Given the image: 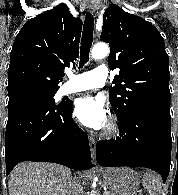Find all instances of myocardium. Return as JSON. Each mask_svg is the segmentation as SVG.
Returning <instances> with one entry per match:
<instances>
[{
    "label": "myocardium",
    "instance_id": "myocardium-1",
    "mask_svg": "<svg viewBox=\"0 0 178 195\" xmlns=\"http://www.w3.org/2000/svg\"><path fill=\"white\" fill-rule=\"evenodd\" d=\"M118 134L119 126L117 124V121L114 118H112L104 129L103 137L105 139H114L118 136Z\"/></svg>",
    "mask_w": 178,
    "mask_h": 195
}]
</instances>
